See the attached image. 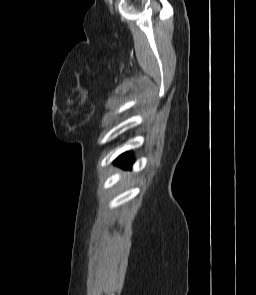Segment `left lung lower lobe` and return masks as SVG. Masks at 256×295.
I'll return each mask as SVG.
<instances>
[{
  "label": "left lung lower lobe",
  "mask_w": 256,
  "mask_h": 295,
  "mask_svg": "<svg viewBox=\"0 0 256 295\" xmlns=\"http://www.w3.org/2000/svg\"><path fill=\"white\" fill-rule=\"evenodd\" d=\"M115 163L123 168H131L133 164V157L131 153L127 152L120 155L116 160Z\"/></svg>",
  "instance_id": "1"
}]
</instances>
